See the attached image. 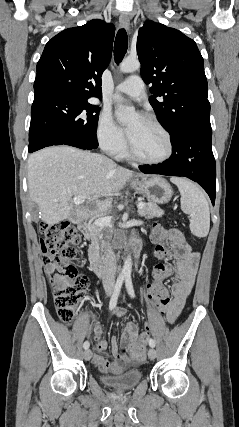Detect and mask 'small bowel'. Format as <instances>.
I'll use <instances>...</instances> for the list:
<instances>
[{
	"label": "small bowel",
	"instance_id": "small-bowel-1",
	"mask_svg": "<svg viewBox=\"0 0 239 427\" xmlns=\"http://www.w3.org/2000/svg\"><path fill=\"white\" fill-rule=\"evenodd\" d=\"M166 235L171 237L168 256L175 259V264L170 266V276L174 278L170 291L172 297L168 298L163 311L167 321L173 323L180 315L185 301L193 288L200 254L192 250L180 230L170 229L166 232ZM125 314L126 309L122 307L114 311V315L117 318H122ZM93 330L96 353L92 357V362L104 373H121L126 368L128 358L126 355L119 353L117 339L113 337L110 341L112 360H107L101 354L107 347V342L102 337L103 328L96 323ZM137 337V325L134 322L127 323L121 336L122 344L129 347L135 343Z\"/></svg>",
	"mask_w": 239,
	"mask_h": 427
}]
</instances>
